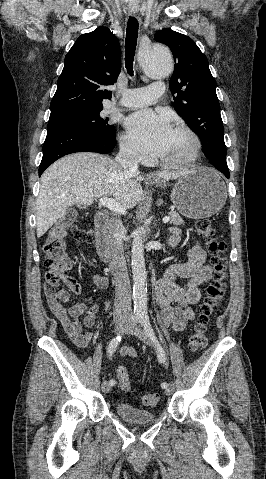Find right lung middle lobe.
<instances>
[{
  "mask_svg": "<svg viewBox=\"0 0 266 479\" xmlns=\"http://www.w3.org/2000/svg\"><path fill=\"white\" fill-rule=\"evenodd\" d=\"M100 108H73L50 114L49 123H62L92 130L95 132L113 134L114 126L108 124V118L101 116ZM48 123V124H49Z\"/></svg>",
  "mask_w": 266,
  "mask_h": 479,
  "instance_id": "right-lung-middle-lobe-1",
  "label": "right lung middle lobe"
}]
</instances>
